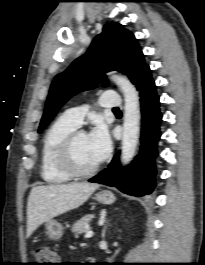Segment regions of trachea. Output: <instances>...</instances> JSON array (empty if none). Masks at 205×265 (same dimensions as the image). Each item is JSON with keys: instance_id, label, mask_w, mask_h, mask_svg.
<instances>
[{"instance_id": "1", "label": "trachea", "mask_w": 205, "mask_h": 265, "mask_svg": "<svg viewBox=\"0 0 205 265\" xmlns=\"http://www.w3.org/2000/svg\"><path fill=\"white\" fill-rule=\"evenodd\" d=\"M114 110H118V108H114Z\"/></svg>"}]
</instances>
